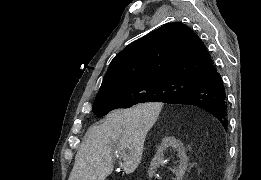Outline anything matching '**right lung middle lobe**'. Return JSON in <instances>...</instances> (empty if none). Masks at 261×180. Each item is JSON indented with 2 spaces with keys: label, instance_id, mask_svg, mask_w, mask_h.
<instances>
[{
  "label": "right lung middle lobe",
  "instance_id": "obj_1",
  "mask_svg": "<svg viewBox=\"0 0 261 180\" xmlns=\"http://www.w3.org/2000/svg\"><path fill=\"white\" fill-rule=\"evenodd\" d=\"M196 82L162 80L128 86L97 96L92 107L98 116H104L117 108H129L142 102H167L169 99L192 90Z\"/></svg>",
  "mask_w": 261,
  "mask_h": 180
}]
</instances>
